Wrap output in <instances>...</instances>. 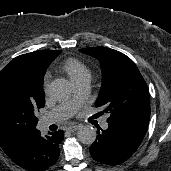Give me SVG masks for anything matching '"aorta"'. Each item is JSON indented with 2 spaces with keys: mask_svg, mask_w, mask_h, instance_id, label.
Returning <instances> with one entry per match:
<instances>
[{
  "mask_svg": "<svg viewBox=\"0 0 171 171\" xmlns=\"http://www.w3.org/2000/svg\"><path fill=\"white\" fill-rule=\"evenodd\" d=\"M49 93L56 100H64L72 93L71 83L63 78L55 79L49 85ZM96 130L89 125H84L77 132L78 140L83 144H92L96 140Z\"/></svg>",
  "mask_w": 171,
  "mask_h": 171,
  "instance_id": "aorta-1",
  "label": "aorta"
}]
</instances>
